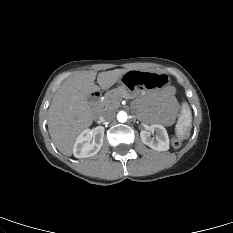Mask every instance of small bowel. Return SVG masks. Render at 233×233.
I'll return each instance as SVG.
<instances>
[{
	"instance_id": "obj_1",
	"label": "small bowel",
	"mask_w": 233,
	"mask_h": 233,
	"mask_svg": "<svg viewBox=\"0 0 233 233\" xmlns=\"http://www.w3.org/2000/svg\"><path fill=\"white\" fill-rule=\"evenodd\" d=\"M150 97L145 95L144 99H149ZM151 109L155 113V119L169 123L171 122L178 109V104L174 96V91L172 88L164 90L160 95L151 97Z\"/></svg>"
}]
</instances>
